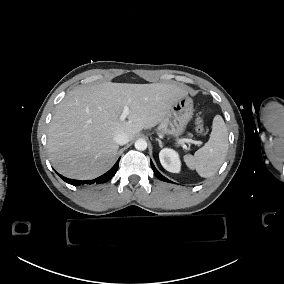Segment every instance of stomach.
Here are the masks:
<instances>
[{"label":"stomach","instance_id":"0dacf381","mask_svg":"<svg viewBox=\"0 0 284 284\" xmlns=\"http://www.w3.org/2000/svg\"><path fill=\"white\" fill-rule=\"evenodd\" d=\"M193 116V100L185 95L178 99L170 108L165 118L158 126V131L163 134L179 136Z\"/></svg>","mask_w":284,"mask_h":284}]
</instances>
